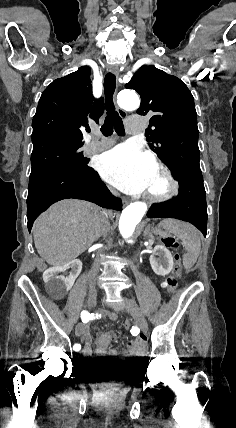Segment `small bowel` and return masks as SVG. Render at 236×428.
Returning <instances> with one entry per match:
<instances>
[{
    "label": "small bowel",
    "mask_w": 236,
    "mask_h": 428,
    "mask_svg": "<svg viewBox=\"0 0 236 428\" xmlns=\"http://www.w3.org/2000/svg\"><path fill=\"white\" fill-rule=\"evenodd\" d=\"M108 320H116V315L111 312L103 314ZM77 335L84 341V354L89 357L92 354V338L90 329L86 324H79L76 329ZM114 339L112 332H100L96 339V354L105 355L110 342ZM146 340L143 336H139L134 340L128 341L122 350L111 349L108 354L111 357H124L128 360L138 361L141 360L145 352Z\"/></svg>",
    "instance_id": "c3829d8e"
}]
</instances>
